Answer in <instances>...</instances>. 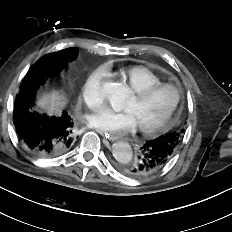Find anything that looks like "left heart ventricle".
Masks as SVG:
<instances>
[{
	"mask_svg": "<svg viewBox=\"0 0 232 232\" xmlns=\"http://www.w3.org/2000/svg\"><path fill=\"white\" fill-rule=\"evenodd\" d=\"M174 98V92L168 88L160 89L144 100H137L132 95L123 110L133 114L138 126H147L159 121L167 113Z\"/></svg>",
	"mask_w": 232,
	"mask_h": 232,
	"instance_id": "left-heart-ventricle-1",
	"label": "left heart ventricle"
}]
</instances>
